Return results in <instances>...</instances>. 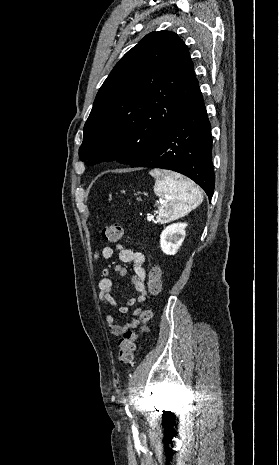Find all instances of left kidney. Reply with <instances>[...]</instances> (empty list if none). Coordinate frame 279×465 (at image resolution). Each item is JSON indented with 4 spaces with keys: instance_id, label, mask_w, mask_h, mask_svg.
I'll use <instances>...</instances> for the list:
<instances>
[{
    "instance_id": "obj_1",
    "label": "left kidney",
    "mask_w": 279,
    "mask_h": 465,
    "mask_svg": "<svg viewBox=\"0 0 279 465\" xmlns=\"http://www.w3.org/2000/svg\"><path fill=\"white\" fill-rule=\"evenodd\" d=\"M186 223H173L167 226L160 235V247L163 253L174 255L185 238Z\"/></svg>"
}]
</instances>
